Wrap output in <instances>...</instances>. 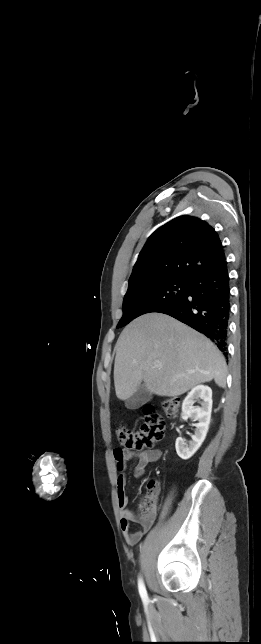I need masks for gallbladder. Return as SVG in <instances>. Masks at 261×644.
Returning a JSON list of instances; mask_svg holds the SVG:
<instances>
[{
  "instance_id": "obj_1",
  "label": "gallbladder",
  "mask_w": 261,
  "mask_h": 644,
  "mask_svg": "<svg viewBox=\"0 0 261 644\" xmlns=\"http://www.w3.org/2000/svg\"><path fill=\"white\" fill-rule=\"evenodd\" d=\"M151 398L152 394L142 384L139 386L137 391L126 400L125 406L129 410H136L150 401Z\"/></svg>"
}]
</instances>
